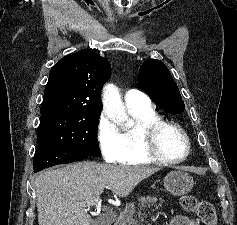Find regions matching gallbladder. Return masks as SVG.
Wrapping results in <instances>:
<instances>
[{"label":"gallbladder","instance_id":"gallbladder-1","mask_svg":"<svg viewBox=\"0 0 237 225\" xmlns=\"http://www.w3.org/2000/svg\"><path fill=\"white\" fill-rule=\"evenodd\" d=\"M113 222V219H107L105 216L100 217L97 221H96V225H111Z\"/></svg>","mask_w":237,"mask_h":225}]
</instances>
